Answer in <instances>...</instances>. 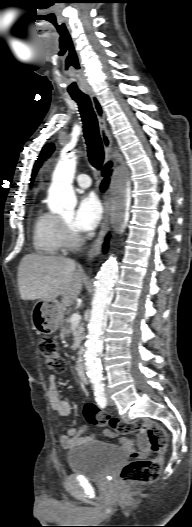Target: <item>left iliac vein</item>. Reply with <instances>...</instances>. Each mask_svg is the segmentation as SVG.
<instances>
[{
	"label": "left iliac vein",
	"mask_w": 192,
	"mask_h": 527,
	"mask_svg": "<svg viewBox=\"0 0 192 527\" xmlns=\"http://www.w3.org/2000/svg\"><path fill=\"white\" fill-rule=\"evenodd\" d=\"M106 395H107V399H108V404L109 405H114V401L111 399L110 395H109V392L106 390Z\"/></svg>",
	"instance_id": "4c4485c4"
}]
</instances>
